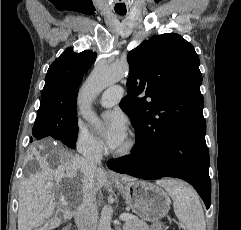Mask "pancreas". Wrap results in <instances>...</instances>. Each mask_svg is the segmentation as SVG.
<instances>
[{
	"mask_svg": "<svg viewBox=\"0 0 241 230\" xmlns=\"http://www.w3.org/2000/svg\"><path fill=\"white\" fill-rule=\"evenodd\" d=\"M123 230H150L148 225L139 220L137 217H133L131 220H127L123 226Z\"/></svg>",
	"mask_w": 241,
	"mask_h": 230,
	"instance_id": "pancreas-1",
	"label": "pancreas"
}]
</instances>
